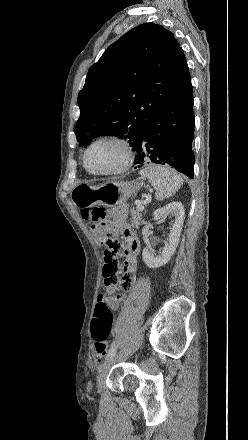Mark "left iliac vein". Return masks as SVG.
<instances>
[{
    "mask_svg": "<svg viewBox=\"0 0 248 440\" xmlns=\"http://www.w3.org/2000/svg\"><path fill=\"white\" fill-rule=\"evenodd\" d=\"M143 335H140L129 348L120 352L119 354H114L112 357H109L99 368L97 375V388L101 390L103 386V382L111 368V366L119 361H123L129 357V355L133 354L142 344Z\"/></svg>",
    "mask_w": 248,
    "mask_h": 440,
    "instance_id": "1",
    "label": "left iliac vein"
}]
</instances>
